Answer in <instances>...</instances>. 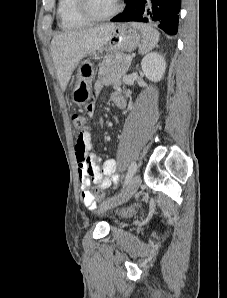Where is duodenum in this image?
Returning a JSON list of instances; mask_svg holds the SVG:
<instances>
[{
    "label": "duodenum",
    "instance_id": "obj_1",
    "mask_svg": "<svg viewBox=\"0 0 227 298\" xmlns=\"http://www.w3.org/2000/svg\"><path fill=\"white\" fill-rule=\"evenodd\" d=\"M114 103L118 108H123V103L120 100H115Z\"/></svg>",
    "mask_w": 227,
    "mask_h": 298
}]
</instances>
